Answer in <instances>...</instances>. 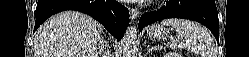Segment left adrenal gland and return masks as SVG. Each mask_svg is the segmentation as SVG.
Segmentation results:
<instances>
[{
  "label": "left adrenal gland",
  "mask_w": 249,
  "mask_h": 57,
  "mask_svg": "<svg viewBox=\"0 0 249 57\" xmlns=\"http://www.w3.org/2000/svg\"><path fill=\"white\" fill-rule=\"evenodd\" d=\"M159 47H150V45H148V53H152L153 50H158Z\"/></svg>",
  "instance_id": "obj_1"
}]
</instances>
